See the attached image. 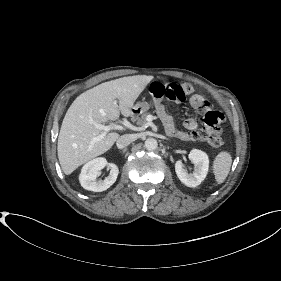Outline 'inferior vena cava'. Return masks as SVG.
Here are the masks:
<instances>
[{
  "label": "inferior vena cava",
  "instance_id": "1",
  "mask_svg": "<svg viewBox=\"0 0 281 281\" xmlns=\"http://www.w3.org/2000/svg\"><path fill=\"white\" fill-rule=\"evenodd\" d=\"M134 141V138L131 134H125L120 136L117 141L116 145L119 149L125 148L130 145Z\"/></svg>",
  "mask_w": 281,
  "mask_h": 281
}]
</instances>
